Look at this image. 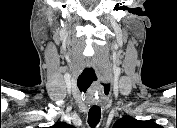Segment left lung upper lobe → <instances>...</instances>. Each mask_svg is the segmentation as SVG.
<instances>
[{"label": "left lung upper lobe", "mask_w": 177, "mask_h": 128, "mask_svg": "<svg viewBox=\"0 0 177 128\" xmlns=\"http://www.w3.org/2000/svg\"><path fill=\"white\" fill-rule=\"evenodd\" d=\"M155 125L153 121H139L130 116H126L117 120L114 124V128H145Z\"/></svg>", "instance_id": "obj_1"}]
</instances>
